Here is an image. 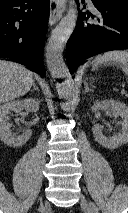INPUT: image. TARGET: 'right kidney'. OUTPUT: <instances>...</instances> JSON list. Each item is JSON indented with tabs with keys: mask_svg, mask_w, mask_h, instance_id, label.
Instances as JSON below:
<instances>
[{
	"mask_svg": "<svg viewBox=\"0 0 128 213\" xmlns=\"http://www.w3.org/2000/svg\"><path fill=\"white\" fill-rule=\"evenodd\" d=\"M37 112L39 110V100L26 98L16 101H8L0 105V139L11 147H21L30 139L32 131L23 130L21 135L11 132L12 124L8 121L7 115L11 112L21 113L23 110Z\"/></svg>",
	"mask_w": 128,
	"mask_h": 213,
	"instance_id": "ca27d5eb",
	"label": "right kidney"
}]
</instances>
